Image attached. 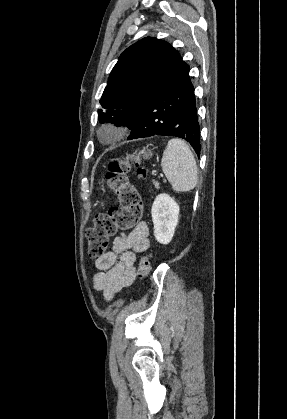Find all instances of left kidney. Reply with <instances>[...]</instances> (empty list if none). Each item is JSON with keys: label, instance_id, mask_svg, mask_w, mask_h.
I'll list each match as a JSON object with an SVG mask.
<instances>
[{"label": "left kidney", "instance_id": "obj_1", "mask_svg": "<svg viewBox=\"0 0 287 419\" xmlns=\"http://www.w3.org/2000/svg\"><path fill=\"white\" fill-rule=\"evenodd\" d=\"M179 206L168 194H159L152 205L154 236L161 244L171 242L178 224Z\"/></svg>", "mask_w": 287, "mask_h": 419}]
</instances>
